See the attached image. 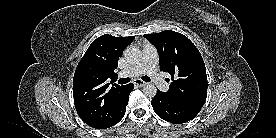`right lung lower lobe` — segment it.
<instances>
[{
    "label": "right lung lower lobe",
    "mask_w": 276,
    "mask_h": 138,
    "mask_svg": "<svg viewBox=\"0 0 276 138\" xmlns=\"http://www.w3.org/2000/svg\"><path fill=\"white\" fill-rule=\"evenodd\" d=\"M133 88H134V84L133 83H130V84L126 85V89H125L126 90V92H125V101H124L122 109H121L119 115L117 116L115 122L113 123V125H115L116 123H118L123 118V116L125 114V111H126V105L128 104L129 94L133 90Z\"/></svg>",
    "instance_id": "1"
}]
</instances>
